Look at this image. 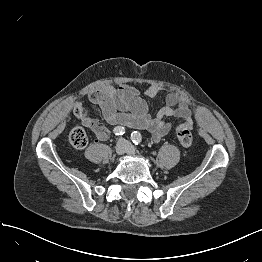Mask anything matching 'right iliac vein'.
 I'll list each match as a JSON object with an SVG mask.
<instances>
[{"instance_id":"1","label":"right iliac vein","mask_w":262,"mask_h":262,"mask_svg":"<svg viewBox=\"0 0 262 262\" xmlns=\"http://www.w3.org/2000/svg\"><path fill=\"white\" fill-rule=\"evenodd\" d=\"M127 151V143L125 140L121 139L117 142L115 146V152L118 155H122Z\"/></svg>"}]
</instances>
